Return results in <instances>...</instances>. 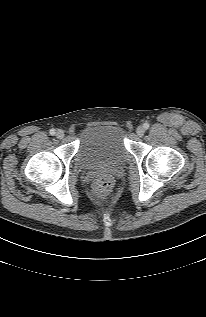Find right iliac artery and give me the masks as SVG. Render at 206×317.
<instances>
[{
	"mask_svg": "<svg viewBox=\"0 0 206 317\" xmlns=\"http://www.w3.org/2000/svg\"><path fill=\"white\" fill-rule=\"evenodd\" d=\"M49 133L51 134V135H55V129H51L50 131H49Z\"/></svg>",
	"mask_w": 206,
	"mask_h": 317,
	"instance_id": "82829eb1",
	"label": "right iliac artery"
}]
</instances>
